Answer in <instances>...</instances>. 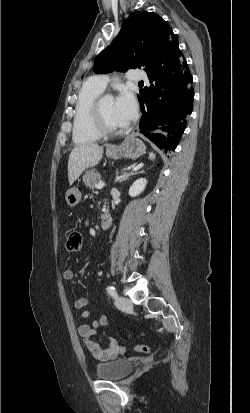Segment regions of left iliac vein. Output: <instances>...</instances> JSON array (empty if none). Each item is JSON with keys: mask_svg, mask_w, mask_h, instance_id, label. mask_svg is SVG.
<instances>
[{"mask_svg": "<svg viewBox=\"0 0 250 413\" xmlns=\"http://www.w3.org/2000/svg\"><path fill=\"white\" fill-rule=\"evenodd\" d=\"M115 305L121 310H129L132 308L131 300L123 296H117L115 298Z\"/></svg>", "mask_w": 250, "mask_h": 413, "instance_id": "left-iliac-vein-1", "label": "left iliac vein"}]
</instances>
